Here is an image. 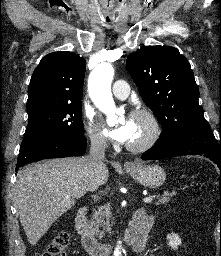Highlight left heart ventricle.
<instances>
[{"instance_id": "1", "label": "left heart ventricle", "mask_w": 221, "mask_h": 256, "mask_svg": "<svg viewBox=\"0 0 221 256\" xmlns=\"http://www.w3.org/2000/svg\"><path fill=\"white\" fill-rule=\"evenodd\" d=\"M134 133L129 143H137L142 141L149 133V124L145 118L133 116Z\"/></svg>"}]
</instances>
